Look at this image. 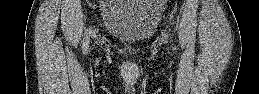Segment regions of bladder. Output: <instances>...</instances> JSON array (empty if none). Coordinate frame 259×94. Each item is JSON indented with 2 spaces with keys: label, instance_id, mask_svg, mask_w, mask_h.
<instances>
[{
  "label": "bladder",
  "instance_id": "31cf9c89",
  "mask_svg": "<svg viewBox=\"0 0 259 94\" xmlns=\"http://www.w3.org/2000/svg\"><path fill=\"white\" fill-rule=\"evenodd\" d=\"M161 8L149 0H111L102 9L106 32L117 41L135 46L152 36Z\"/></svg>",
  "mask_w": 259,
  "mask_h": 94
}]
</instances>
